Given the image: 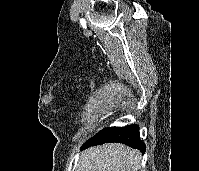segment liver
<instances>
[{
    "label": "liver",
    "instance_id": "obj_1",
    "mask_svg": "<svg viewBox=\"0 0 199 171\" xmlns=\"http://www.w3.org/2000/svg\"><path fill=\"white\" fill-rule=\"evenodd\" d=\"M141 153L123 144H103L82 152L76 171H137Z\"/></svg>",
    "mask_w": 199,
    "mask_h": 171
}]
</instances>
